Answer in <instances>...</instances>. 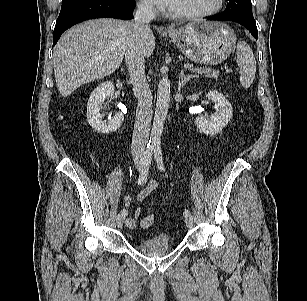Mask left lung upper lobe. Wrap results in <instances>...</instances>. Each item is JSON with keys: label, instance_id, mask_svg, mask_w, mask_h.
<instances>
[{"label": "left lung upper lobe", "instance_id": "obj_1", "mask_svg": "<svg viewBox=\"0 0 307 301\" xmlns=\"http://www.w3.org/2000/svg\"><path fill=\"white\" fill-rule=\"evenodd\" d=\"M223 15H241L253 17L251 0H228Z\"/></svg>", "mask_w": 307, "mask_h": 301}]
</instances>
